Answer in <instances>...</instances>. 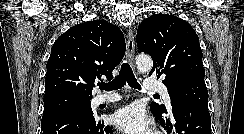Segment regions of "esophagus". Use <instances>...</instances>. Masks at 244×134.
<instances>
[{
  "instance_id": "1",
  "label": "esophagus",
  "mask_w": 244,
  "mask_h": 134,
  "mask_svg": "<svg viewBox=\"0 0 244 134\" xmlns=\"http://www.w3.org/2000/svg\"><path fill=\"white\" fill-rule=\"evenodd\" d=\"M127 53L126 57L131 66L133 65L134 55H135V41H134V34L131 29L127 30Z\"/></svg>"
}]
</instances>
